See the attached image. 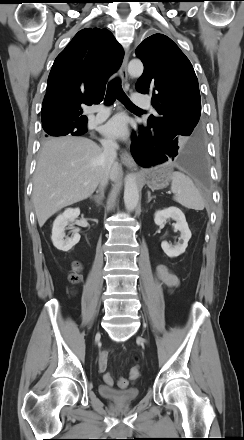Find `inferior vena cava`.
I'll list each match as a JSON object with an SVG mask.
<instances>
[{
  "label": "inferior vena cava",
  "mask_w": 244,
  "mask_h": 440,
  "mask_svg": "<svg viewBox=\"0 0 244 440\" xmlns=\"http://www.w3.org/2000/svg\"><path fill=\"white\" fill-rule=\"evenodd\" d=\"M102 146H103V154H102L103 176L99 182L101 191H103L104 187L108 183L110 170L117 157V149L119 147L118 144L112 139L104 140L102 142Z\"/></svg>",
  "instance_id": "inferior-vena-cava-1"
}]
</instances>
